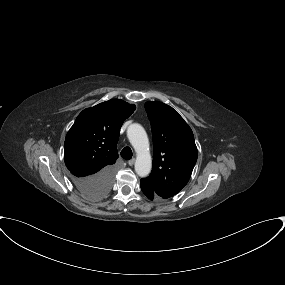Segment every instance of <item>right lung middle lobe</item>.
Instances as JSON below:
<instances>
[{
    "mask_svg": "<svg viewBox=\"0 0 285 285\" xmlns=\"http://www.w3.org/2000/svg\"><path fill=\"white\" fill-rule=\"evenodd\" d=\"M105 195L106 194H97V195L91 196L89 198H91V199H100V198L104 197Z\"/></svg>",
    "mask_w": 285,
    "mask_h": 285,
    "instance_id": "1",
    "label": "right lung middle lobe"
}]
</instances>
